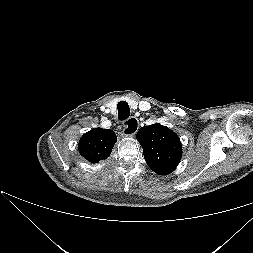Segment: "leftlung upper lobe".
I'll list each match as a JSON object with an SVG mask.
<instances>
[{
  "mask_svg": "<svg viewBox=\"0 0 253 253\" xmlns=\"http://www.w3.org/2000/svg\"><path fill=\"white\" fill-rule=\"evenodd\" d=\"M148 166L159 175L175 170L182 157L179 137L166 126L158 123L144 126L137 133Z\"/></svg>",
  "mask_w": 253,
  "mask_h": 253,
  "instance_id": "1",
  "label": "left lung upper lobe"
}]
</instances>
